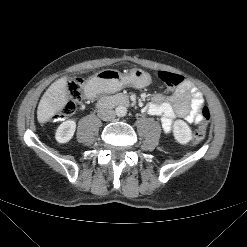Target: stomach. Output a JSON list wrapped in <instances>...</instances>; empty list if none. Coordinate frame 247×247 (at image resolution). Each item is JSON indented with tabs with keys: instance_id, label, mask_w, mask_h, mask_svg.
<instances>
[{
	"instance_id": "obj_1",
	"label": "stomach",
	"mask_w": 247,
	"mask_h": 247,
	"mask_svg": "<svg viewBox=\"0 0 247 247\" xmlns=\"http://www.w3.org/2000/svg\"><path fill=\"white\" fill-rule=\"evenodd\" d=\"M150 76L141 69H133L128 74L122 75L115 70H103L96 73L88 85L97 91H112L123 86L144 88L150 84Z\"/></svg>"
}]
</instances>
